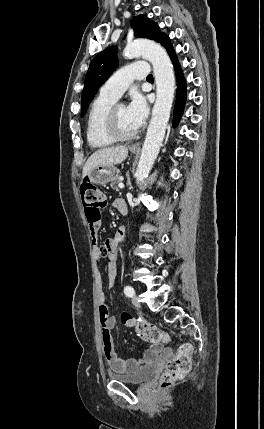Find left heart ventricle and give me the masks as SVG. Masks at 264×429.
I'll return each mask as SVG.
<instances>
[{
	"mask_svg": "<svg viewBox=\"0 0 264 429\" xmlns=\"http://www.w3.org/2000/svg\"><path fill=\"white\" fill-rule=\"evenodd\" d=\"M117 119L121 130L124 133L130 134L135 132L138 128L134 125L127 113V107L120 105L117 109Z\"/></svg>",
	"mask_w": 264,
	"mask_h": 429,
	"instance_id": "obj_1",
	"label": "left heart ventricle"
}]
</instances>
